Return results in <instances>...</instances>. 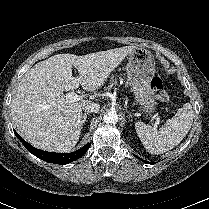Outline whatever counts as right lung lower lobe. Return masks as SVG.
<instances>
[{"instance_id":"obj_1","label":"right lung lower lobe","mask_w":209,"mask_h":209,"mask_svg":"<svg viewBox=\"0 0 209 209\" xmlns=\"http://www.w3.org/2000/svg\"><path fill=\"white\" fill-rule=\"evenodd\" d=\"M15 135L23 143L25 148L30 153H32L36 157H38V158H40V159H42V160H44L46 162L60 164V165H65V164H68V163H70L72 161H75L76 159H78L81 156H83L87 152L89 147H90V144L88 143L84 147H82L79 150H77L75 152H72V153L46 152V151H43V150H38V149L34 148L33 146H31L29 143L24 141L17 132H15Z\"/></svg>"}]
</instances>
